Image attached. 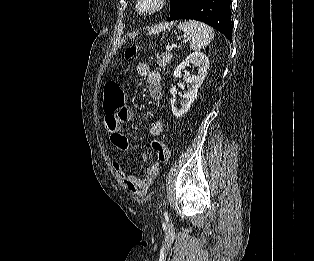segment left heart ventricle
<instances>
[{
  "instance_id": "obj_1",
  "label": "left heart ventricle",
  "mask_w": 314,
  "mask_h": 261,
  "mask_svg": "<svg viewBox=\"0 0 314 261\" xmlns=\"http://www.w3.org/2000/svg\"><path fill=\"white\" fill-rule=\"evenodd\" d=\"M155 0H143L142 1V7L143 8H149L154 4Z\"/></svg>"
}]
</instances>
